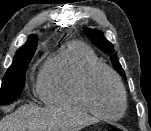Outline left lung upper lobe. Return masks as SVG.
<instances>
[{
	"mask_svg": "<svg viewBox=\"0 0 151 131\" xmlns=\"http://www.w3.org/2000/svg\"><path fill=\"white\" fill-rule=\"evenodd\" d=\"M84 32L90 41L95 44L98 48L106 53H112L114 51L113 45L104 37L102 32L99 30H91L88 28H84ZM111 61L115 67V69L119 72V74L125 77L124 70L122 69L121 65L119 64L116 55L111 56Z\"/></svg>",
	"mask_w": 151,
	"mask_h": 131,
	"instance_id": "obj_1",
	"label": "left lung upper lobe"
}]
</instances>
